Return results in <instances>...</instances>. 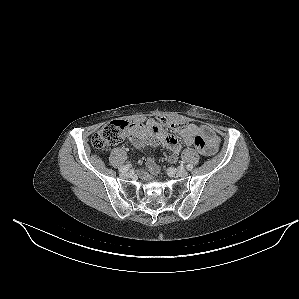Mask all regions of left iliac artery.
I'll return each mask as SVG.
<instances>
[{
  "instance_id": "obj_1",
  "label": "left iliac artery",
  "mask_w": 299,
  "mask_h": 299,
  "mask_svg": "<svg viewBox=\"0 0 299 299\" xmlns=\"http://www.w3.org/2000/svg\"><path fill=\"white\" fill-rule=\"evenodd\" d=\"M186 168H187V170L191 171V170L193 169V165H192V164H188V165L186 166Z\"/></svg>"
}]
</instances>
